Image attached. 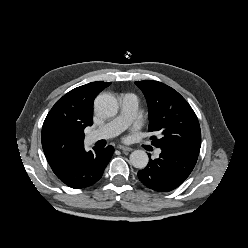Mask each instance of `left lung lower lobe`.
<instances>
[{
	"mask_svg": "<svg viewBox=\"0 0 248 248\" xmlns=\"http://www.w3.org/2000/svg\"><path fill=\"white\" fill-rule=\"evenodd\" d=\"M197 156L161 148L158 159L149 158L148 165L138 171L139 180L157 192H169L181 185L192 172Z\"/></svg>",
	"mask_w": 248,
	"mask_h": 248,
	"instance_id": "left-lung-lower-lobe-1",
	"label": "left lung lower lobe"
}]
</instances>
